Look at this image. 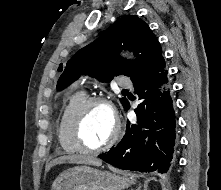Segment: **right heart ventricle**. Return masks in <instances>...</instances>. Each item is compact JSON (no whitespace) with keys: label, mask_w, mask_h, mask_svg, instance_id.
Returning a JSON list of instances; mask_svg holds the SVG:
<instances>
[{"label":"right heart ventricle","mask_w":221,"mask_h":190,"mask_svg":"<svg viewBox=\"0 0 221 190\" xmlns=\"http://www.w3.org/2000/svg\"><path fill=\"white\" fill-rule=\"evenodd\" d=\"M87 98L84 90L75 91L67 98L61 109L57 123V137L60 148L65 153L78 152L70 138L69 121L75 109Z\"/></svg>","instance_id":"obj_1"}]
</instances>
